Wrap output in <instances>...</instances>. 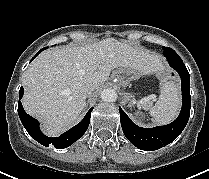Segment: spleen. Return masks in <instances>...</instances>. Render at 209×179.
<instances>
[{"mask_svg":"<svg viewBox=\"0 0 209 179\" xmlns=\"http://www.w3.org/2000/svg\"><path fill=\"white\" fill-rule=\"evenodd\" d=\"M181 106L180 87L174 81L160 87L157 102L150 108V115L159 124H167L175 119Z\"/></svg>","mask_w":209,"mask_h":179,"instance_id":"obj_1","label":"spleen"}]
</instances>
